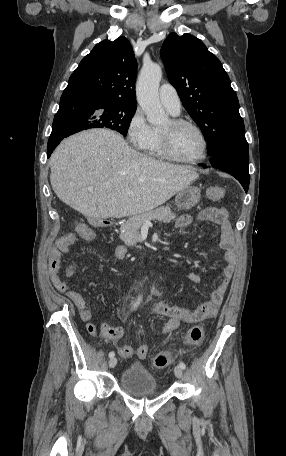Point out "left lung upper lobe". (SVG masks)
I'll return each instance as SVG.
<instances>
[{
    "label": "left lung upper lobe",
    "mask_w": 286,
    "mask_h": 456,
    "mask_svg": "<svg viewBox=\"0 0 286 456\" xmlns=\"http://www.w3.org/2000/svg\"><path fill=\"white\" fill-rule=\"evenodd\" d=\"M170 83L183 106L200 126L209 155L248 147L239 102L219 59L198 38L170 33L161 51Z\"/></svg>",
    "instance_id": "5c2ea615"
}]
</instances>
